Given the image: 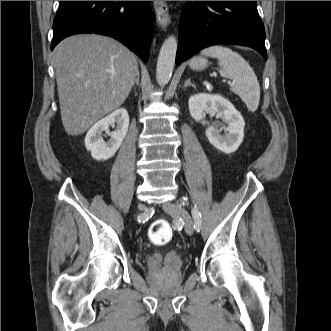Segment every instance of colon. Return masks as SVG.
<instances>
[{"label": "colon", "instance_id": "5ec220e1", "mask_svg": "<svg viewBox=\"0 0 331 331\" xmlns=\"http://www.w3.org/2000/svg\"><path fill=\"white\" fill-rule=\"evenodd\" d=\"M172 235V227L165 220H157L153 222L148 231L149 239L156 245H164L168 243L171 240Z\"/></svg>", "mask_w": 331, "mask_h": 331}]
</instances>
